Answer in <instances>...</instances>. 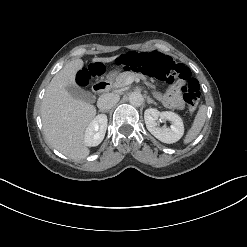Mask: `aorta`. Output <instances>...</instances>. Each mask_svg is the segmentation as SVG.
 Listing matches in <instances>:
<instances>
[{
    "label": "aorta",
    "mask_w": 247,
    "mask_h": 247,
    "mask_svg": "<svg viewBox=\"0 0 247 247\" xmlns=\"http://www.w3.org/2000/svg\"><path fill=\"white\" fill-rule=\"evenodd\" d=\"M129 102L135 107H139L143 104L144 98L140 92H132L129 95Z\"/></svg>",
    "instance_id": "1"
}]
</instances>
